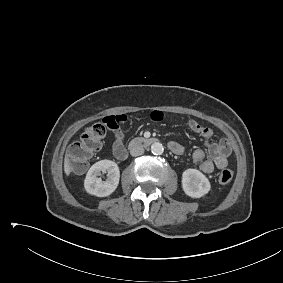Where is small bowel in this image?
<instances>
[{"label": "small bowel", "mask_w": 283, "mask_h": 283, "mask_svg": "<svg viewBox=\"0 0 283 283\" xmlns=\"http://www.w3.org/2000/svg\"><path fill=\"white\" fill-rule=\"evenodd\" d=\"M151 118L154 121H161L163 119V113L159 110H154L151 113ZM126 121L127 116L122 114L109 116L103 120L113 133V153L115 157L120 160H123L126 157L124 133L122 130V125ZM188 126L192 132L201 136L206 142L207 158L203 149H196L192 154L193 161L198 165L199 169L204 173H211L215 168H225L228 164V157L232 151L229 140L221 139L216 143H210L213 131L209 127L201 125L194 119L188 120ZM169 148L176 155H183L185 153L184 147L178 142H171Z\"/></svg>", "instance_id": "obj_1"}]
</instances>
